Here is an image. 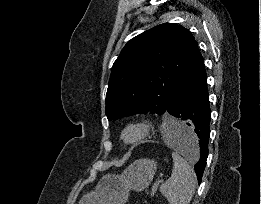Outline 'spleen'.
Returning a JSON list of instances; mask_svg holds the SVG:
<instances>
[{"label": "spleen", "mask_w": 261, "mask_h": 204, "mask_svg": "<svg viewBox=\"0 0 261 204\" xmlns=\"http://www.w3.org/2000/svg\"><path fill=\"white\" fill-rule=\"evenodd\" d=\"M187 125L176 119H170L163 128L165 142L174 148H183L177 141L178 132ZM195 145V155L198 154V147ZM174 162L171 177L160 186L161 194L169 204H189L195 192V173L191 166L177 151L172 153Z\"/></svg>", "instance_id": "obj_1"}]
</instances>
